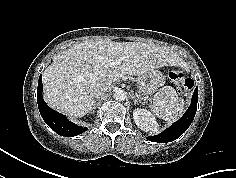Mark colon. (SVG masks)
Returning a JSON list of instances; mask_svg holds the SVG:
<instances>
[{"instance_id":"obj_1","label":"colon","mask_w":236,"mask_h":178,"mask_svg":"<svg viewBox=\"0 0 236 178\" xmlns=\"http://www.w3.org/2000/svg\"><path fill=\"white\" fill-rule=\"evenodd\" d=\"M168 77L177 85L178 92L182 95L188 94L194 86L193 80L182 71L172 70L169 72Z\"/></svg>"}]
</instances>
